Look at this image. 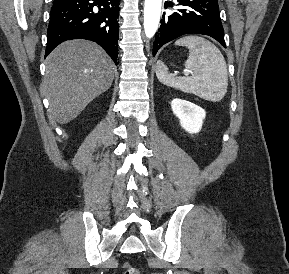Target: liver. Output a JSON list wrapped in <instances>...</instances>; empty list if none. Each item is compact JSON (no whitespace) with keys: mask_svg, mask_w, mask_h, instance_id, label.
Instances as JSON below:
<instances>
[{"mask_svg":"<svg viewBox=\"0 0 289 274\" xmlns=\"http://www.w3.org/2000/svg\"><path fill=\"white\" fill-rule=\"evenodd\" d=\"M115 65L107 53L88 40H69L48 56L42 89L49 113L60 124L75 119L85 107L107 91Z\"/></svg>","mask_w":289,"mask_h":274,"instance_id":"obj_1","label":"liver"}]
</instances>
